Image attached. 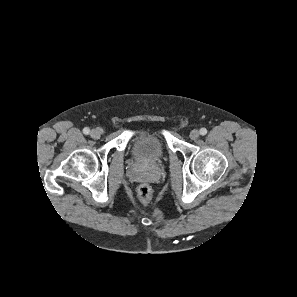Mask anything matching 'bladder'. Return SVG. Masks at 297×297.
I'll use <instances>...</instances> for the list:
<instances>
[{
    "label": "bladder",
    "mask_w": 297,
    "mask_h": 297,
    "mask_svg": "<svg viewBox=\"0 0 297 297\" xmlns=\"http://www.w3.org/2000/svg\"><path fill=\"white\" fill-rule=\"evenodd\" d=\"M129 150L131 156L141 164H156L165 155L162 137L157 131L148 128L134 133Z\"/></svg>",
    "instance_id": "bladder-1"
}]
</instances>
